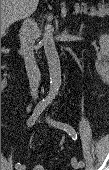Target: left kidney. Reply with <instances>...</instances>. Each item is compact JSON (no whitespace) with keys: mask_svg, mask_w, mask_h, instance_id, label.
<instances>
[{"mask_svg":"<svg viewBox=\"0 0 109 170\" xmlns=\"http://www.w3.org/2000/svg\"><path fill=\"white\" fill-rule=\"evenodd\" d=\"M101 51L97 54L96 70L100 75L107 76L109 72V41L107 35L100 36Z\"/></svg>","mask_w":109,"mask_h":170,"instance_id":"left-kidney-1","label":"left kidney"}]
</instances>
